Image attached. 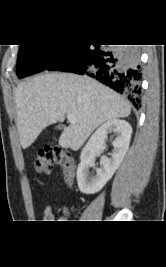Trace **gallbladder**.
Masks as SVG:
<instances>
[{
    "instance_id": "obj_1",
    "label": "gallbladder",
    "mask_w": 166,
    "mask_h": 267,
    "mask_svg": "<svg viewBox=\"0 0 166 267\" xmlns=\"http://www.w3.org/2000/svg\"><path fill=\"white\" fill-rule=\"evenodd\" d=\"M57 128H58L59 130H62L64 127L60 125V126H58Z\"/></svg>"
}]
</instances>
